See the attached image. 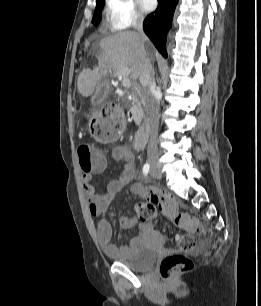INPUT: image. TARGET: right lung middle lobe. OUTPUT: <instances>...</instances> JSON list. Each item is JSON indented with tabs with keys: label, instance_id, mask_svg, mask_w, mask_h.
<instances>
[{
	"label": "right lung middle lobe",
	"instance_id": "right-lung-middle-lobe-1",
	"mask_svg": "<svg viewBox=\"0 0 261 306\" xmlns=\"http://www.w3.org/2000/svg\"><path fill=\"white\" fill-rule=\"evenodd\" d=\"M104 2H105V0H98L97 1L94 16H93V19H92V23L94 25H98L100 20H101V10L104 6Z\"/></svg>",
	"mask_w": 261,
	"mask_h": 306
}]
</instances>
